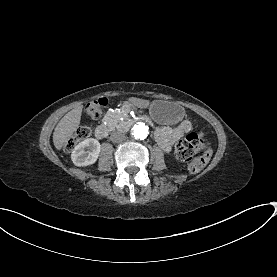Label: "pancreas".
I'll list each match as a JSON object with an SVG mask.
<instances>
[{"instance_id": "pancreas-1", "label": "pancreas", "mask_w": 277, "mask_h": 277, "mask_svg": "<svg viewBox=\"0 0 277 277\" xmlns=\"http://www.w3.org/2000/svg\"><path fill=\"white\" fill-rule=\"evenodd\" d=\"M129 111V105L125 102H122L118 105L117 109H109L104 117V120L107 124L112 125L120 120L121 115L125 116L129 113Z\"/></svg>"}]
</instances>
